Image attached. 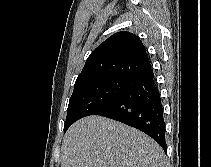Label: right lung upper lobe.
Wrapping results in <instances>:
<instances>
[{
  "mask_svg": "<svg viewBox=\"0 0 211 167\" xmlns=\"http://www.w3.org/2000/svg\"><path fill=\"white\" fill-rule=\"evenodd\" d=\"M145 46L130 32H117L87 58L74 86L104 77H126L150 67Z\"/></svg>",
  "mask_w": 211,
  "mask_h": 167,
  "instance_id": "cb5924a9",
  "label": "right lung upper lobe"
}]
</instances>
